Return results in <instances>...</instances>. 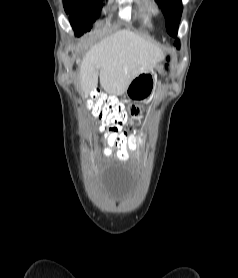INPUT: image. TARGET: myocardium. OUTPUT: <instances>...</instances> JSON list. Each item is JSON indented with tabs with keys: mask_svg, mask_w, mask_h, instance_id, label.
I'll use <instances>...</instances> for the list:
<instances>
[{
	"mask_svg": "<svg viewBox=\"0 0 238 278\" xmlns=\"http://www.w3.org/2000/svg\"><path fill=\"white\" fill-rule=\"evenodd\" d=\"M153 12H154V14H159L161 12V10L158 6H155Z\"/></svg>",
	"mask_w": 238,
	"mask_h": 278,
	"instance_id": "1",
	"label": "myocardium"
}]
</instances>
